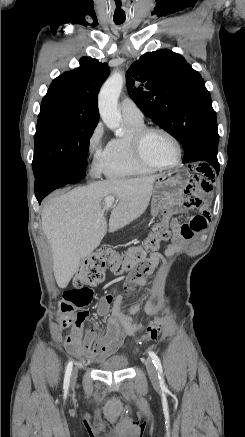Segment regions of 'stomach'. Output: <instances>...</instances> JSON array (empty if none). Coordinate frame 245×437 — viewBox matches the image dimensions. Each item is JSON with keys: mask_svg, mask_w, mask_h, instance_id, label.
<instances>
[{"mask_svg": "<svg viewBox=\"0 0 245 437\" xmlns=\"http://www.w3.org/2000/svg\"><path fill=\"white\" fill-rule=\"evenodd\" d=\"M188 182L186 174L180 170L161 174L156 178L152 192L151 207L154 213L162 209L175 190L183 189Z\"/></svg>", "mask_w": 245, "mask_h": 437, "instance_id": "0dacf381", "label": "stomach"}]
</instances>
